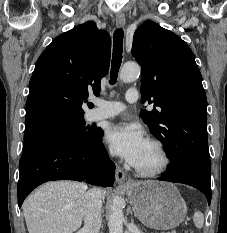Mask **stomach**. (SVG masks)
Returning <instances> with one entry per match:
<instances>
[{
  "mask_svg": "<svg viewBox=\"0 0 227 233\" xmlns=\"http://www.w3.org/2000/svg\"><path fill=\"white\" fill-rule=\"evenodd\" d=\"M126 192L135 215L149 228H175L186 217V203L171 183L135 182L126 188Z\"/></svg>",
  "mask_w": 227,
  "mask_h": 233,
  "instance_id": "obj_1",
  "label": "stomach"
}]
</instances>
